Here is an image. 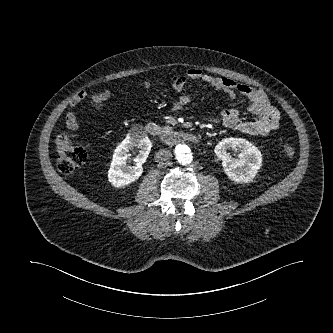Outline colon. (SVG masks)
<instances>
[{
	"instance_id": "1",
	"label": "colon",
	"mask_w": 333,
	"mask_h": 333,
	"mask_svg": "<svg viewBox=\"0 0 333 333\" xmlns=\"http://www.w3.org/2000/svg\"><path fill=\"white\" fill-rule=\"evenodd\" d=\"M55 149L58 168L64 174L73 172L87 160L86 151L76 145L67 135H61L56 139ZM295 152V148L291 145H285L283 148V154L287 158L294 157Z\"/></svg>"
}]
</instances>
